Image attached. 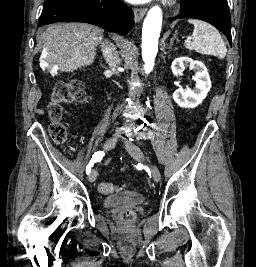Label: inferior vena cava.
<instances>
[{"label":"inferior vena cava","mask_w":256,"mask_h":267,"mask_svg":"<svg viewBox=\"0 0 256 267\" xmlns=\"http://www.w3.org/2000/svg\"><path fill=\"white\" fill-rule=\"evenodd\" d=\"M102 52L107 64H109L111 70L115 72V68H117V64L120 62L116 48H114V46H109L106 42V44H103L102 46Z\"/></svg>","instance_id":"602c4592"}]
</instances>
